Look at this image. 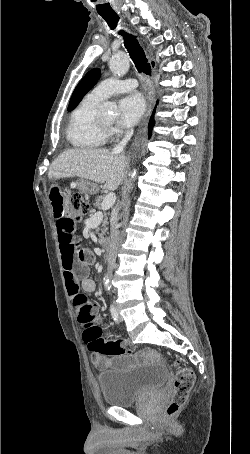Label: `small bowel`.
<instances>
[{
	"label": "small bowel",
	"instance_id": "obj_1",
	"mask_svg": "<svg viewBox=\"0 0 250 454\" xmlns=\"http://www.w3.org/2000/svg\"><path fill=\"white\" fill-rule=\"evenodd\" d=\"M69 188L53 184L49 192V198L56 218V229L60 245L62 266L67 292L71 298L73 308L77 312L78 320L88 315L98 316V310L87 298L96 290L95 282L87 277L88 267L94 261L91 250L78 245L76 235V223L65 215V206L68 200ZM149 355L155 357L154 352ZM93 364L100 370H106L114 365V361L93 352L91 356Z\"/></svg>",
	"mask_w": 250,
	"mask_h": 454
}]
</instances>
